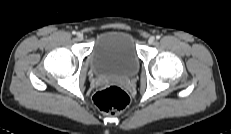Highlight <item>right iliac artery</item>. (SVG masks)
Returning <instances> with one entry per match:
<instances>
[{"label":"right iliac artery","mask_w":231,"mask_h":134,"mask_svg":"<svg viewBox=\"0 0 231 134\" xmlns=\"http://www.w3.org/2000/svg\"><path fill=\"white\" fill-rule=\"evenodd\" d=\"M72 34L75 35V34H76V31H73Z\"/></svg>","instance_id":"1"}]
</instances>
